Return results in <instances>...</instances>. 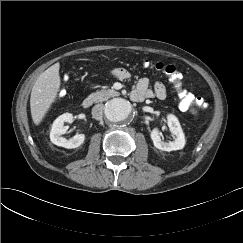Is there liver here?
Returning <instances> with one entry per match:
<instances>
[{
	"instance_id": "1",
	"label": "liver",
	"mask_w": 243,
	"mask_h": 243,
	"mask_svg": "<svg viewBox=\"0 0 243 243\" xmlns=\"http://www.w3.org/2000/svg\"><path fill=\"white\" fill-rule=\"evenodd\" d=\"M60 64L55 63L37 78L30 96L31 116L35 125H39L52 103L56 100L60 89Z\"/></svg>"
}]
</instances>
